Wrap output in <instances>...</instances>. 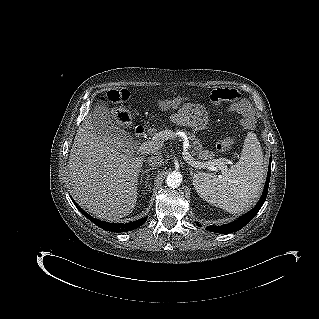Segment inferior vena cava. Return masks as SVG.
I'll list each match as a JSON object with an SVG mask.
<instances>
[{
  "label": "inferior vena cava",
  "mask_w": 319,
  "mask_h": 319,
  "mask_svg": "<svg viewBox=\"0 0 319 319\" xmlns=\"http://www.w3.org/2000/svg\"><path fill=\"white\" fill-rule=\"evenodd\" d=\"M163 160H164L163 157L157 154V155L148 157L147 163L149 166L156 168L163 164Z\"/></svg>",
  "instance_id": "inferior-vena-cava-1"
}]
</instances>
